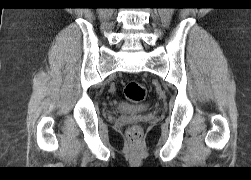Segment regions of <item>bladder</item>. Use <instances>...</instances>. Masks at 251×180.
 I'll return each instance as SVG.
<instances>
[{
    "instance_id": "1",
    "label": "bladder",
    "mask_w": 251,
    "mask_h": 180,
    "mask_svg": "<svg viewBox=\"0 0 251 180\" xmlns=\"http://www.w3.org/2000/svg\"><path fill=\"white\" fill-rule=\"evenodd\" d=\"M117 109L118 111L125 112V113H138V112H142L146 110L147 107L144 105L135 106V105H128V104H121L118 106Z\"/></svg>"
}]
</instances>
